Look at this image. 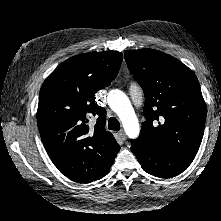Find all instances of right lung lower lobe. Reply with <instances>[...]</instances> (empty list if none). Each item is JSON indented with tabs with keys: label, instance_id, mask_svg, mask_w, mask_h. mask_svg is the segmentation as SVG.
<instances>
[{
	"label": "right lung lower lobe",
	"instance_id": "1",
	"mask_svg": "<svg viewBox=\"0 0 221 221\" xmlns=\"http://www.w3.org/2000/svg\"><path fill=\"white\" fill-rule=\"evenodd\" d=\"M108 172H109V170H108L103 176L107 175ZM103 176H101L100 178H102ZM100 178H99V179H100Z\"/></svg>",
	"mask_w": 221,
	"mask_h": 221
}]
</instances>
